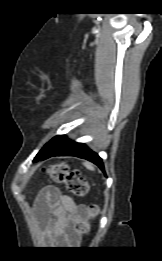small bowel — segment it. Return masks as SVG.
Returning a JSON list of instances; mask_svg holds the SVG:
<instances>
[{
  "label": "small bowel",
  "mask_w": 162,
  "mask_h": 261,
  "mask_svg": "<svg viewBox=\"0 0 162 261\" xmlns=\"http://www.w3.org/2000/svg\"><path fill=\"white\" fill-rule=\"evenodd\" d=\"M86 207L77 205L54 186L41 191L36 214L44 229L57 244H70L76 238V225L84 217Z\"/></svg>",
  "instance_id": "obj_1"
}]
</instances>
